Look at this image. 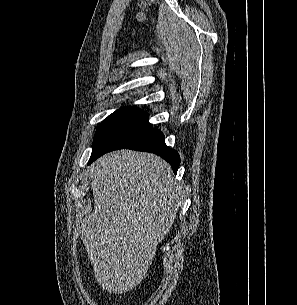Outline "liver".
I'll list each match as a JSON object with an SVG mask.
<instances>
[{"label":"liver","mask_w":297,"mask_h":305,"mask_svg":"<svg viewBox=\"0 0 297 305\" xmlns=\"http://www.w3.org/2000/svg\"><path fill=\"white\" fill-rule=\"evenodd\" d=\"M90 173L95 205L83 220L82 240L98 284L126 293L146 277L183 202L182 189L171 166L151 153L114 151Z\"/></svg>","instance_id":"1"}]
</instances>
